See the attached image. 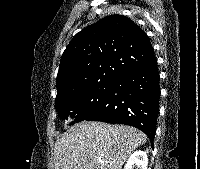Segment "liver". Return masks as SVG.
Segmentation results:
<instances>
[{
    "label": "liver",
    "instance_id": "liver-1",
    "mask_svg": "<svg viewBox=\"0 0 200 169\" xmlns=\"http://www.w3.org/2000/svg\"><path fill=\"white\" fill-rule=\"evenodd\" d=\"M146 140L134 127L83 121L56 140L53 169H122Z\"/></svg>",
    "mask_w": 200,
    "mask_h": 169
}]
</instances>
